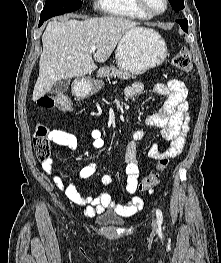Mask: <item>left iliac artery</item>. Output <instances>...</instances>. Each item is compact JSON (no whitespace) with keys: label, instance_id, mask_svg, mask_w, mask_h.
Masks as SVG:
<instances>
[{"label":"left iliac artery","instance_id":"1","mask_svg":"<svg viewBox=\"0 0 221 263\" xmlns=\"http://www.w3.org/2000/svg\"><path fill=\"white\" fill-rule=\"evenodd\" d=\"M156 216H157V223L162 224L163 222V215L160 209L156 210Z\"/></svg>","mask_w":221,"mask_h":263}]
</instances>
